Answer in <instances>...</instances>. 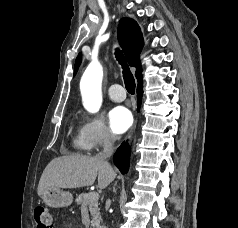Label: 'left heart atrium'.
<instances>
[{"label":"left heart atrium","mask_w":238,"mask_h":228,"mask_svg":"<svg viewBox=\"0 0 238 228\" xmlns=\"http://www.w3.org/2000/svg\"><path fill=\"white\" fill-rule=\"evenodd\" d=\"M109 122L112 131L121 134L131 126L133 122L132 114L127 108L117 106L110 111Z\"/></svg>","instance_id":"1"}]
</instances>
